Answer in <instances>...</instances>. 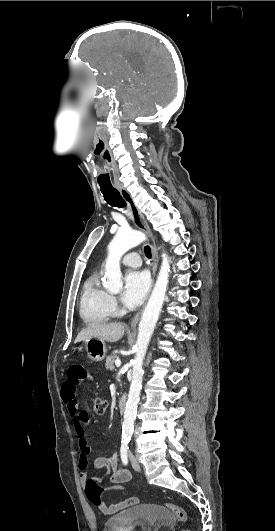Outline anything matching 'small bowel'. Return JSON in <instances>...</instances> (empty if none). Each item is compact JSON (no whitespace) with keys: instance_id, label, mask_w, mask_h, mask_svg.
Instances as JSON below:
<instances>
[{"instance_id":"c3829d8e","label":"small bowel","mask_w":275,"mask_h":531,"mask_svg":"<svg viewBox=\"0 0 275 531\" xmlns=\"http://www.w3.org/2000/svg\"><path fill=\"white\" fill-rule=\"evenodd\" d=\"M91 371L87 367H77L76 364L71 363L67 366L66 375L68 376L67 384L63 385L62 398L67 406V410L72 419L74 428L80 437L81 453L78 457V468L80 470V478L82 481H87L88 469L91 465L89 455L91 453V446L85 439V429L89 424V416L87 412L79 408L76 397L77 386L75 384L89 383L92 380ZM92 467L95 470H104L110 475V478H116L119 485H124L131 480V473L120 466L119 456L113 452L109 456H98L94 459ZM136 497H131L126 500L113 503L110 505L101 502L98 509L105 515H114L122 510L130 508L138 504Z\"/></svg>"}]
</instances>
